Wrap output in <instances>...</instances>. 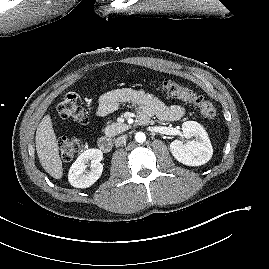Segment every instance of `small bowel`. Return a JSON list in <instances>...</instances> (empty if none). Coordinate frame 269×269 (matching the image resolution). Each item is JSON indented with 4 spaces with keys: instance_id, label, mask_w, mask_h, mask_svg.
<instances>
[{
    "instance_id": "small-bowel-1",
    "label": "small bowel",
    "mask_w": 269,
    "mask_h": 269,
    "mask_svg": "<svg viewBox=\"0 0 269 269\" xmlns=\"http://www.w3.org/2000/svg\"><path fill=\"white\" fill-rule=\"evenodd\" d=\"M123 103H133L138 106L139 121L142 124H147L153 117L161 121H176L184 115V108L181 105L167 106L148 93L128 88L103 94L98 101L97 115L106 116Z\"/></svg>"
}]
</instances>
